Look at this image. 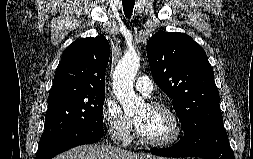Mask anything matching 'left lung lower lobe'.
Masks as SVG:
<instances>
[{
    "instance_id": "obj_1",
    "label": "left lung lower lobe",
    "mask_w": 253,
    "mask_h": 159,
    "mask_svg": "<svg viewBox=\"0 0 253 159\" xmlns=\"http://www.w3.org/2000/svg\"><path fill=\"white\" fill-rule=\"evenodd\" d=\"M164 157H200L204 159H235L230 148L223 120L214 121L198 131L184 136L170 148L151 149Z\"/></svg>"
}]
</instances>
